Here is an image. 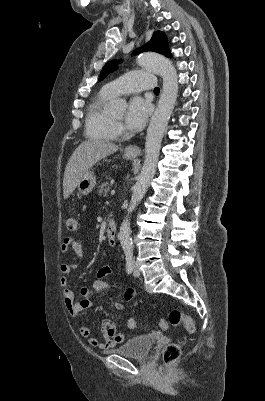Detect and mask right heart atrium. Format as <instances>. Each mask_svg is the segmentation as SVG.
I'll return each instance as SVG.
<instances>
[{"mask_svg":"<svg viewBox=\"0 0 265 401\" xmlns=\"http://www.w3.org/2000/svg\"><path fill=\"white\" fill-rule=\"evenodd\" d=\"M117 130L119 133L122 132V128L120 126H117Z\"/></svg>","mask_w":265,"mask_h":401,"instance_id":"1","label":"right heart atrium"}]
</instances>
